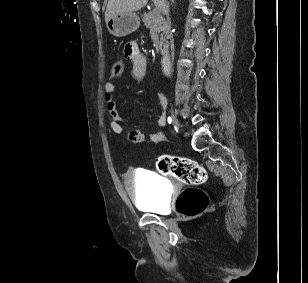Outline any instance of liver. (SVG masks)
<instances>
[{"mask_svg": "<svg viewBox=\"0 0 308 283\" xmlns=\"http://www.w3.org/2000/svg\"><path fill=\"white\" fill-rule=\"evenodd\" d=\"M155 5L160 4L163 11V5L166 0H152ZM148 0H108L105 11V22L117 14L133 13L140 10L147 4Z\"/></svg>", "mask_w": 308, "mask_h": 283, "instance_id": "6515ba94", "label": "liver"}]
</instances>
